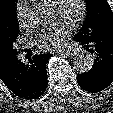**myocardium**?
Listing matches in <instances>:
<instances>
[{"mask_svg":"<svg viewBox=\"0 0 113 113\" xmlns=\"http://www.w3.org/2000/svg\"><path fill=\"white\" fill-rule=\"evenodd\" d=\"M66 2L67 0H57L55 3L54 11L57 14L58 17L62 19H66L68 14H67V9H66ZM79 3V11L77 15L72 19L71 25L74 27H78L82 22L84 21L86 14H87V3L85 0H78Z\"/></svg>","mask_w":113,"mask_h":113,"instance_id":"myocardium-1","label":"myocardium"}]
</instances>
